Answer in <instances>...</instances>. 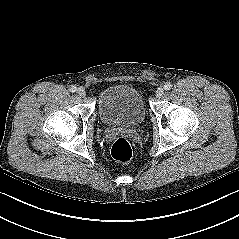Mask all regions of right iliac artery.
I'll use <instances>...</instances> for the list:
<instances>
[{
  "label": "right iliac artery",
  "mask_w": 239,
  "mask_h": 239,
  "mask_svg": "<svg viewBox=\"0 0 239 239\" xmlns=\"http://www.w3.org/2000/svg\"><path fill=\"white\" fill-rule=\"evenodd\" d=\"M69 90L71 92H76L77 88H76V86L72 85V86H70Z\"/></svg>",
  "instance_id": "right-iliac-artery-1"
}]
</instances>
